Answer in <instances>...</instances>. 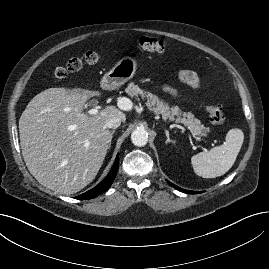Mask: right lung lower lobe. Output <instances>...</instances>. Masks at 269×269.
<instances>
[{
  "mask_svg": "<svg viewBox=\"0 0 269 269\" xmlns=\"http://www.w3.org/2000/svg\"><path fill=\"white\" fill-rule=\"evenodd\" d=\"M118 165H119V154H117L114 165L109 174L106 176V178L91 190L77 196L76 199H83V200L91 199L105 192L112 185L115 179L116 173L118 171Z\"/></svg>",
  "mask_w": 269,
  "mask_h": 269,
  "instance_id": "right-lung-lower-lobe-1",
  "label": "right lung lower lobe"
}]
</instances>
